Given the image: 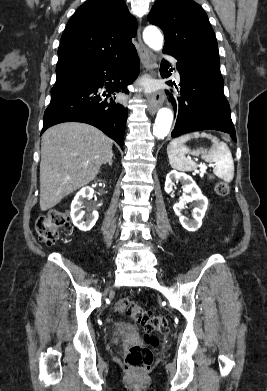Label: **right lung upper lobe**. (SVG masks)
Masks as SVG:
<instances>
[{
  "label": "right lung upper lobe",
  "mask_w": 267,
  "mask_h": 391,
  "mask_svg": "<svg viewBox=\"0 0 267 391\" xmlns=\"http://www.w3.org/2000/svg\"><path fill=\"white\" fill-rule=\"evenodd\" d=\"M136 32V19L124 0L86 1L70 18L62 34L57 78L128 54L135 49L131 40Z\"/></svg>",
  "instance_id": "1"
}]
</instances>
